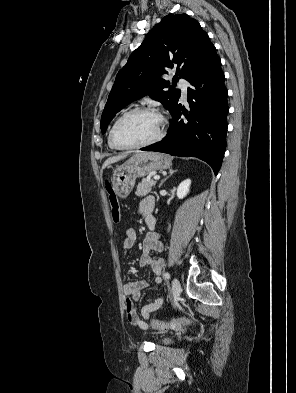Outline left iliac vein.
<instances>
[{"label":"left iliac vein","instance_id":"obj_1","mask_svg":"<svg viewBox=\"0 0 296 393\" xmlns=\"http://www.w3.org/2000/svg\"><path fill=\"white\" fill-rule=\"evenodd\" d=\"M172 295L174 297H178L181 293V284L177 278H174L172 280V289H171Z\"/></svg>","mask_w":296,"mask_h":393}]
</instances>
